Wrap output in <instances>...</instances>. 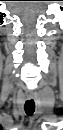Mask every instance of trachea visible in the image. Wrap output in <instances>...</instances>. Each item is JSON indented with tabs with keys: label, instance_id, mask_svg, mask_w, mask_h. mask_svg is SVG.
I'll list each match as a JSON object with an SVG mask.
<instances>
[{
	"label": "trachea",
	"instance_id": "trachea-1",
	"mask_svg": "<svg viewBox=\"0 0 63 130\" xmlns=\"http://www.w3.org/2000/svg\"><path fill=\"white\" fill-rule=\"evenodd\" d=\"M25 112L28 116L33 115L34 111H35V103L33 101V99L27 100L25 102Z\"/></svg>",
	"mask_w": 63,
	"mask_h": 130
}]
</instances>
